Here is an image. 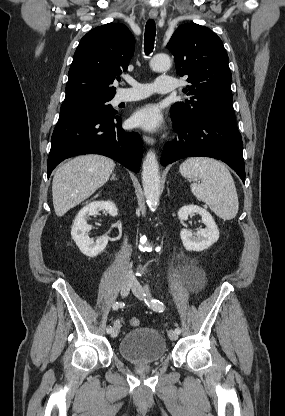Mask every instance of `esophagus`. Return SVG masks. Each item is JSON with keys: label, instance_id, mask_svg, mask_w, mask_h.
<instances>
[{"label": "esophagus", "instance_id": "esophagus-1", "mask_svg": "<svg viewBox=\"0 0 285 416\" xmlns=\"http://www.w3.org/2000/svg\"><path fill=\"white\" fill-rule=\"evenodd\" d=\"M158 15V12H149V17L154 20ZM143 140L148 145H153L155 143V139L153 137H150L148 135H143Z\"/></svg>", "mask_w": 285, "mask_h": 416}]
</instances>
